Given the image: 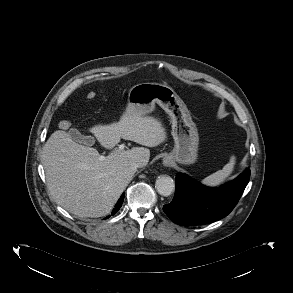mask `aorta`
Returning a JSON list of instances; mask_svg holds the SVG:
<instances>
[{"instance_id":"1","label":"aorta","mask_w":293,"mask_h":293,"mask_svg":"<svg viewBox=\"0 0 293 293\" xmlns=\"http://www.w3.org/2000/svg\"><path fill=\"white\" fill-rule=\"evenodd\" d=\"M157 192L162 196H170L175 189L174 180L167 175L159 176L155 182Z\"/></svg>"}]
</instances>
